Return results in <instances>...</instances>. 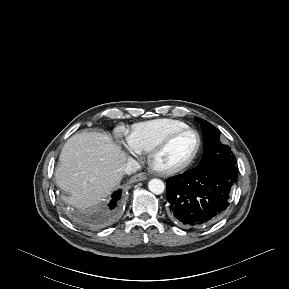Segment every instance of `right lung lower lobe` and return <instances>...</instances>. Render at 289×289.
<instances>
[{
    "label": "right lung lower lobe",
    "mask_w": 289,
    "mask_h": 289,
    "mask_svg": "<svg viewBox=\"0 0 289 289\" xmlns=\"http://www.w3.org/2000/svg\"><path fill=\"white\" fill-rule=\"evenodd\" d=\"M121 193H122L121 190L113 193L108 211H102L96 217L100 222L109 223L114 219L116 215L115 207L117 205V202L121 198Z\"/></svg>",
    "instance_id": "obj_1"
}]
</instances>
